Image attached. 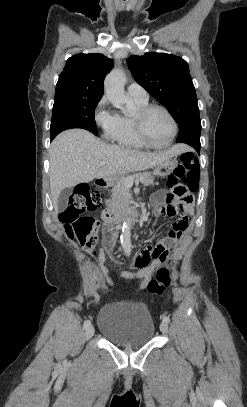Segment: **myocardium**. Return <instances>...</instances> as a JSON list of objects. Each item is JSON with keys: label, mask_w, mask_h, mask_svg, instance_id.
Masks as SVG:
<instances>
[{"label": "myocardium", "mask_w": 247, "mask_h": 407, "mask_svg": "<svg viewBox=\"0 0 247 407\" xmlns=\"http://www.w3.org/2000/svg\"><path fill=\"white\" fill-rule=\"evenodd\" d=\"M153 110H160V111L164 112L172 123V127H173L172 135H171L170 139L163 145L152 144L146 138L145 133H144V120H145L146 116ZM132 123H133L134 132H135L138 140L144 146L151 148V149H165V148L169 147L175 140L177 133H178V123H177L175 117L173 116V114L166 107L157 105V104H147L146 106L136 109L132 115Z\"/></svg>", "instance_id": "f54148a6"}]
</instances>
